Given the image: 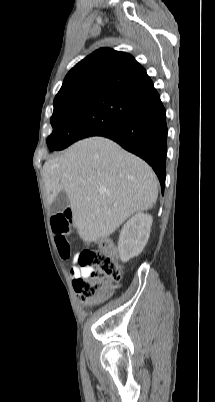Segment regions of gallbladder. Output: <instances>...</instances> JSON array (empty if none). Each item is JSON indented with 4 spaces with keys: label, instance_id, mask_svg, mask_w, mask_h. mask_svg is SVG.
I'll return each instance as SVG.
<instances>
[{
    "label": "gallbladder",
    "instance_id": "gallbladder-1",
    "mask_svg": "<svg viewBox=\"0 0 215 402\" xmlns=\"http://www.w3.org/2000/svg\"><path fill=\"white\" fill-rule=\"evenodd\" d=\"M69 206V198L64 191L58 193L54 201L50 205L51 212L53 214L62 212Z\"/></svg>",
    "mask_w": 215,
    "mask_h": 402
}]
</instances>
